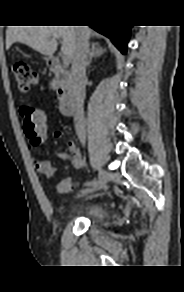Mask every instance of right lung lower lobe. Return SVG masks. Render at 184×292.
Returning <instances> with one entry per match:
<instances>
[{
  "label": "right lung lower lobe",
  "instance_id": "98d812e1",
  "mask_svg": "<svg viewBox=\"0 0 184 292\" xmlns=\"http://www.w3.org/2000/svg\"><path fill=\"white\" fill-rule=\"evenodd\" d=\"M94 30L107 36L113 44L123 53H126L129 41L130 29L132 26H110L104 24L90 25Z\"/></svg>",
  "mask_w": 184,
  "mask_h": 292
}]
</instances>
